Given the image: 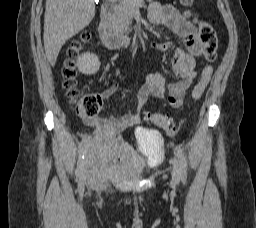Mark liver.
Listing matches in <instances>:
<instances>
[{
  "label": "liver",
  "mask_w": 256,
  "mask_h": 228,
  "mask_svg": "<svg viewBox=\"0 0 256 228\" xmlns=\"http://www.w3.org/2000/svg\"><path fill=\"white\" fill-rule=\"evenodd\" d=\"M94 16V0H46L43 40L51 66L65 42L87 27Z\"/></svg>",
  "instance_id": "1"
}]
</instances>
